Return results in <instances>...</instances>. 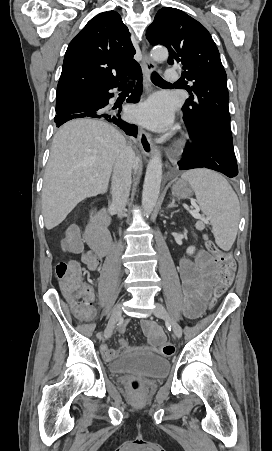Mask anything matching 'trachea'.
Listing matches in <instances>:
<instances>
[{"mask_svg": "<svg viewBox=\"0 0 272 451\" xmlns=\"http://www.w3.org/2000/svg\"><path fill=\"white\" fill-rule=\"evenodd\" d=\"M151 80L155 84H167L168 83L165 80H163V78H161L160 75H158V73H156V72H153L151 74ZM129 85H134V82H130Z\"/></svg>", "mask_w": 272, "mask_h": 451, "instance_id": "obj_1", "label": "trachea"}]
</instances>
